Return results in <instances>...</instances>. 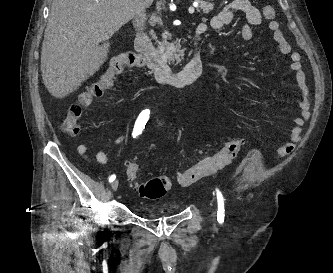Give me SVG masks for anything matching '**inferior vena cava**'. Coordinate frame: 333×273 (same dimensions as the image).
Wrapping results in <instances>:
<instances>
[{
	"label": "inferior vena cava",
	"mask_w": 333,
	"mask_h": 273,
	"mask_svg": "<svg viewBox=\"0 0 333 273\" xmlns=\"http://www.w3.org/2000/svg\"><path fill=\"white\" fill-rule=\"evenodd\" d=\"M128 9L137 32H142L147 20L145 0H129Z\"/></svg>",
	"instance_id": "602c4592"
}]
</instances>
